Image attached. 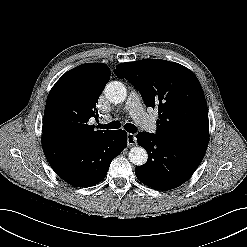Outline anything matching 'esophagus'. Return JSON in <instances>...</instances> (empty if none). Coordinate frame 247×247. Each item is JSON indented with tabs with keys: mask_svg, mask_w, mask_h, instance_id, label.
Returning a JSON list of instances; mask_svg holds the SVG:
<instances>
[{
	"mask_svg": "<svg viewBox=\"0 0 247 247\" xmlns=\"http://www.w3.org/2000/svg\"><path fill=\"white\" fill-rule=\"evenodd\" d=\"M136 143H137V139H136L135 134L128 133L127 134V145L131 147V146H135Z\"/></svg>",
	"mask_w": 247,
	"mask_h": 247,
	"instance_id": "34e87169",
	"label": "esophagus"
}]
</instances>
